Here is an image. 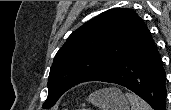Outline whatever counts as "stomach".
<instances>
[{
  "instance_id": "stomach-1",
  "label": "stomach",
  "mask_w": 171,
  "mask_h": 110,
  "mask_svg": "<svg viewBox=\"0 0 171 110\" xmlns=\"http://www.w3.org/2000/svg\"><path fill=\"white\" fill-rule=\"evenodd\" d=\"M89 101L100 110H130L129 102L124 94L114 87L92 93L89 96Z\"/></svg>"
}]
</instances>
